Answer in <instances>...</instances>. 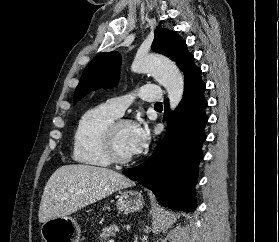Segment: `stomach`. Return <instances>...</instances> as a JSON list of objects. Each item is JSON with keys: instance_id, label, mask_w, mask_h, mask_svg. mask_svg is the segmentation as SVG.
<instances>
[{"instance_id": "stomach-1", "label": "stomach", "mask_w": 279, "mask_h": 242, "mask_svg": "<svg viewBox=\"0 0 279 242\" xmlns=\"http://www.w3.org/2000/svg\"><path fill=\"white\" fill-rule=\"evenodd\" d=\"M116 205L119 211L136 212L143 208L144 199L141 193L126 190L119 195ZM41 235L45 242H79L80 228L72 217H56L42 224Z\"/></svg>"}]
</instances>
